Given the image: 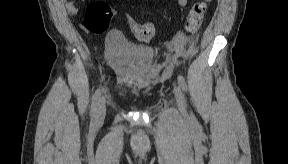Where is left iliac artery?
I'll list each match as a JSON object with an SVG mask.
<instances>
[{
    "label": "left iliac artery",
    "instance_id": "obj_1",
    "mask_svg": "<svg viewBox=\"0 0 288 164\" xmlns=\"http://www.w3.org/2000/svg\"><path fill=\"white\" fill-rule=\"evenodd\" d=\"M178 83L184 92L187 91V84L185 79L182 76H178ZM191 118L194 119V115L191 114Z\"/></svg>",
    "mask_w": 288,
    "mask_h": 164
}]
</instances>
